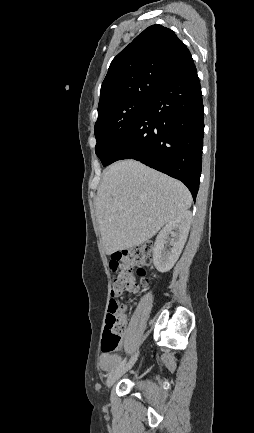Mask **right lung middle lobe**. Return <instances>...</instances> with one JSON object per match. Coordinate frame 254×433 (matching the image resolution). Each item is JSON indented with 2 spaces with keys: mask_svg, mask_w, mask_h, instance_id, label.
<instances>
[{
  "mask_svg": "<svg viewBox=\"0 0 254 433\" xmlns=\"http://www.w3.org/2000/svg\"><path fill=\"white\" fill-rule=\"evenodd\" d=\"M150 99H128L98 110L95 123V152L107 166L118 143L132 127Z\"/></svg>",
  "mask_w": 254,
  "mask_h": 433,
  "instance_id": "right-lung-middle-lobe-1",
  "label": "right lung middle lobe"
}]
</instances>
